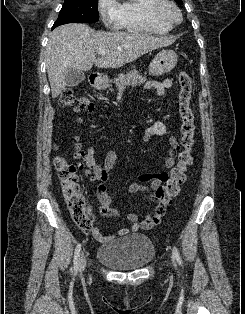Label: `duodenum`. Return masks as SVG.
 <instances>
[{
  "mask_svg": "<svg viewBox=\"0 0 245 314\" xmlns=\"http://www.w3.org/2000/svg\"><path fill=\"white\" fill-rule=\"evenodd\" d=\"M91 83L94 87H99L100 85V78H98L97 76H91Z\"/></svg>",
  "mask_w": 245,
  "mask_h": 314,
  "instance_id": "1",
  "label": "duodenum"
}]
</instances>
